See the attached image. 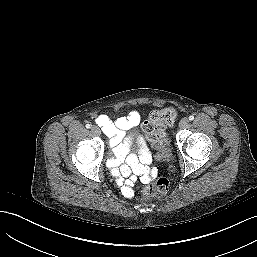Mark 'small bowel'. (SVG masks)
<instances>
[{
    "label": "small bowel",
    "instance_id": "small-bowel-1",
    "mask_svg": "<svg viewBox=\"0 0 257 257\" xmlns=\"http://www.w3.org/2000/svg\"><path fill=\"white\" fill-rule=\"evenodd\" d=\"M140 120V115L137 111H131L128 115L119 117L112 121L106 115H98L96 123L102 128L104 133L110 138V145L113 148L114 157L110 160L109 166L113 170V174L118 178L120 185H123V193L132 195L133 190L125 186L124 180L131 175L136 174L142 182H147L154 176V170L146 165L150 163V155L148 149L140 147L139 159L130 157L125 161L128 153L127 146L123 144L125 140V131L136 125Z\"/></svg>",
    "mask_w": 257,
    "mask_h": 257
}]
</instances>
